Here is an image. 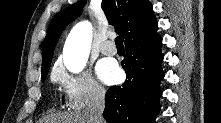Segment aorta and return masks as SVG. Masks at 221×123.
<instances>
[{
  "mask_svg": "<svg viewBox=\"0 0 221 123\" xmlns=\"http://www.w3.org/2000/svg\"><path fill=\"white\" fill-rule=\"evenodd\" d=\"M92 43V25L88 21L77 23L70 31L63 50L65 67L78 73L84 69L88 61Z\"/></svg>",
  "mask_w": 221,
  "mask_h": 123,
  "instance_id": "obj_1",
  "label": "aorta"
}]
</instances>
